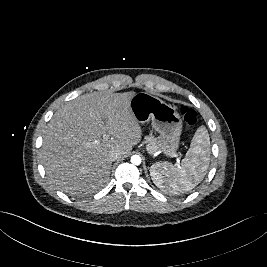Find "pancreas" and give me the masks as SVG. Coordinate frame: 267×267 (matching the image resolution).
Masks as SVG:
<instances>
[{"label":"pancreas","mask_w":267,"mask_h":267,"mask_svg":"<svg viewBox=\"0 0 267 267\" xmlns=\"http://www.w3.org/2000/svg\"><path fill=\"white\" fill-rule=\"evenodd\" d=\"M145 142L147 143L146 149L148 153L154 154L158 151L157 140L153 136H149L145 138Z\"/></svg>","instance_id":"obj_1"}]
</instances>
